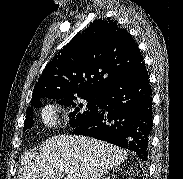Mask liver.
<instances>
[{"label": "liver", "mask_w": 183, "mask_h": 179, "mask_svg": "<svg viewBox=\"0 0 183 179\" xmlns=\"http://www.w3.org/2000/svg\"><path fill=\"white\" fill-rule=\"evenodd\" d=\"M127 153L107 142L83 136L48 138L21 160L20 179H100L123 163Z\"/></svg>", "instance_id": "liver-1"}]
</instances>
